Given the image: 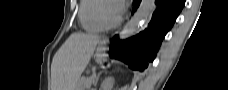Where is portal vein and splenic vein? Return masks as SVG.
I'll list each match as a JSON object with an SVG mask.
<instances>
[{"mask_svg": "<svg viewBox=\"0 0 228 90\" xmlns=\"http://www.w3.org/2000/svg\"><path fill=\"white\" fill-rule=\"evenodd\" d=\"M93 80H94V77H93ZM93 80H90V81H89V84H90V85H91V83L93 82Z\"/></svg>", "mask_w": 228, "mask_h": 90, "instance_id": "18ae733b", "label": "portal vein and splenic vein"}]
</instances>
